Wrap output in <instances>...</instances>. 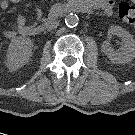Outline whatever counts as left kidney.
Instances as JSON below:
<instances>
[{
	"mask_svg": "<svg viewBox=\"0 0 135 135\" xmlns=\"http://www.w3.org/2000/svg\"><path fill=\"white\" fill-rule=\"evenodd\" d=\"M117 35L124 43L121 51L116 52L108 41H104L102 44V52L113 63L125 64L131 62L135 58V40L132 35L120 26H111L108 29V36Z\"/></svg>",
	"mask_w": 135,
	"mask_h": 135,
	"instance_id": "left-kidney-1",
	"label": "left kidney"
}]
</instances>
